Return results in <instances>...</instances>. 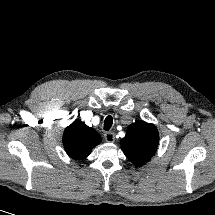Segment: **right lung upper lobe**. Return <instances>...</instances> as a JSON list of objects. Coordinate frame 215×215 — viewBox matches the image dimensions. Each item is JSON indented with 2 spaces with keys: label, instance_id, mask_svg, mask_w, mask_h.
Here are the masks:
<instances>
[{
  "label": "right lung upper lobe",
  "instance_id": "1",
  "mask_svg": "<svg viewBox=\"0 0 215 215\" xmlns=\"http://www.w3.org/2000/svg\"><path fill=\"white\" fill-rule=\"evenodd\" d=\"M100 142V135L80 120H75L65 129L63 134L65 151L71 158L76 160L86 158Z\"/></svg>",
  "mask_w": 215,
  "mask_h": 215
}]
</instances>
